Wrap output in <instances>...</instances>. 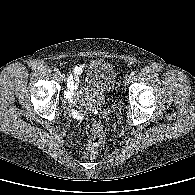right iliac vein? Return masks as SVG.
Instances as JSON below:
<instances>
[{"label":"right iliac vein","instance_id":"right-iliac-vein-1","mask_svg":"<svg viewBox=\"0 0 195 195\" xmlns=\"http://www.w3.org/2000/svg\"><path fill=\"white\" fill-rule=\"evenodd\" d=\"M58 77L61 81L65 80V75L63 73H58Z\"/></svg>","mask_w":195,"mask_h":195}]
</instances>
